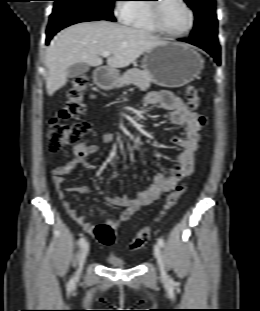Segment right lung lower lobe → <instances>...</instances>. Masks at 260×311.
Instances as JSON below:
<instances>
[{"mask_svg":"<svg viewBox=\"0 0 260 311\" xmlns=\"http://www.w3.org/2000/svg\"><path fill=\"white\" fill-rule=\"evenodd\" d=\"M102 20L96 17H87V16H77V15H69L63 14L56 17H50L48 28H47V39L46 44H49L51 38L61 29L76 24L79 22H87V21H96Z\"/></svg>","mask_w":260,"mask_h":311,"instance_id":"obj_1","label":"right lung lower lobe"}]
</instances>
